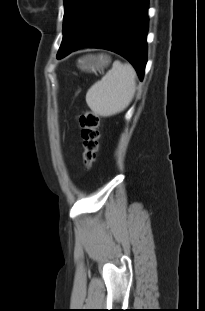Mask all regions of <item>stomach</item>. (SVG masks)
Wrapping results in <instances>:
<instances>
[{
	"mask_svg": "<svg viewBox=\"0 0 205 311\" xmlns=\"http://www.w3.org/2000/svg\"><path fill=\"white\" fill-rule=\"evenodd\" d=\"M110 61V57L104 54L86 55L78 60L77 67L87 73L102 72Z\"/></svg>",
	"mask_w": 205,
	"mask_h": 311,
	"instance_id": "stomach-1",
	"label": "stomach"
}]
</instances>
